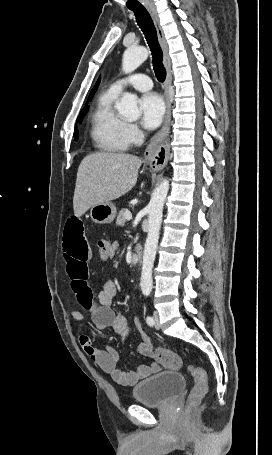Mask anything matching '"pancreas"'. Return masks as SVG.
Listing matches in <instances>:
<instances>
[{
    "mask_svg": "<svg viewBox=\"0 0 272 455\" xmlns=\"http://www.w3.org/2000/svg\"><path fill=\"white\" fill-rule=\"evenodd\" d=\"M127 211H128L127 209H122V210L119 211L118 216H117V220H116V225L117 226H124L125 225L126 212Z\"/></svg>",
    "mask_w": 272,
    "mask_h": 455,
    "instance_id": "1",
    "label": "pancreas"
}]
</instances>
